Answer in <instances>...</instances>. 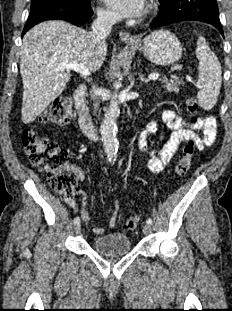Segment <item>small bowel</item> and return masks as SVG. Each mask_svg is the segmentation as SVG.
Here are the masks:
<instances>
[{"mask_svg":"<svg viewBox=\"0 0 232 311\" xmlns=\"http://www.w3.org/2000/svg\"><path fill=\"white\" fill-rule=\"evenodd\" d=\"M161 120L172 130L170 138L161 149L153 150L148 142V137L150 135L159 132V125L154 121H149L147 123L145 129L140 133L138 138L141 149L150 155L148 167L152 173L158 174L165 170L182 142L193 139L199 149H204L205 147L211 146L216 139L217 124L216 120L212 117H199L195 121H192L177 115L172 110L165 109L161 113ZM196 129H202L203 137L196 135ZM78 176L81 180L84 178L81 171H78ZM65 202L81 215L85 223L91 221V216L87 211L85 201H82L81 204L78 205L72 197H65ZM118 207V203H115L114 211L109 220L110 226H113L116 222ZM93 232L100 235L104 230L101 227H95Z\"/></svg>","mask_w":232,"mask_h":311,"instance_id":"small-bowel-1","label":"small bowel"}]
</instances>
